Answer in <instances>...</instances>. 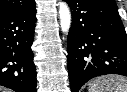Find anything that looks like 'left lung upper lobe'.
<instances>
[{
  "instance_id": "5c2ea615",
  "label": "left lung upper lobe",
  "mask_w": 127,
  "mask_h": 92,
  "mask_svg": "<svg viewBox=\"0 0 127 92\" xmlns=\"http://www.w3.org/2000/svg\"><path fill=\"white\" fill-rule=\"evenodd\" d=\"M93 1L112 5V6H117L114 0H93Z\"/></svg>"
}]
</instances>
